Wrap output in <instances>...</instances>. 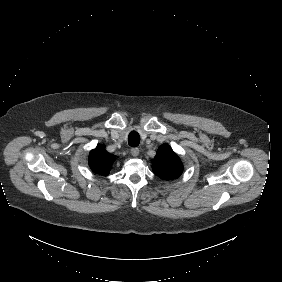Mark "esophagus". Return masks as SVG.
<instances>
[{"label": "esophagus", "instance_id": "34e87169", "mask_svg": "<svg viewBox=\"0 0 282 282\" xmlns=\"http://www.w3.org/2000/svg\"><path fill=\"white\" fill-rule=\"evenodd\" d=\"M130 153H131L132 156L136 157V156L139 155V149L138 148H132L130 150Z\"/></svg>", "mask_w": 282, "mask_h": 282}]
</instances>
